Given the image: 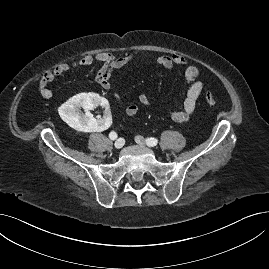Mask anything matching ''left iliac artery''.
<instances>
[{
    "instance_id": "1",
    "label": "left iliac artery",
    "mask_w": 269,
    "mask_h": 269,
    "mask_svg": "<svg viewBox=\"0 0 269 269\" xmlns=\"http://www.w3.org/2000/svg\"><path fill=\"white\" fill-rule=\"evenodd\" d=\"M146 143H147L148 146H152L153 147V146L157 145L158 140L155 139V138H147L146 139Z\"/></svg>"
}]
</instances>
